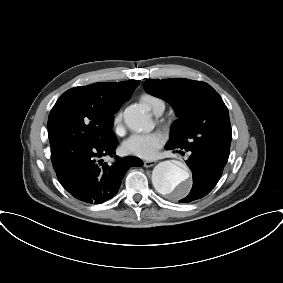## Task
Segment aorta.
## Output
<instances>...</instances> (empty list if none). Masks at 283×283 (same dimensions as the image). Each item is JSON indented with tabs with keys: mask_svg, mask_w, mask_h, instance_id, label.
Here are the masks:
<instances>
[{
	"mask_svg": "<svg viewBox=\"0 0 283 283\" xmlns=\"http://www.w3.org/2000/svg\"><path fill=\"white\" fill-rule=\"evenodd\" d=\"M124 121L134 131L152 128L150 115L138 106H129L125 109ZM152 183L158 193L181 198L190 189L189 172L175 162L163 161L153 169Z\"/></svg>",
	"mask_w": 283,
	"mask_h": 283,
	"instance_id": "aorta-1",
	"label": "aorta"
}]
</instances>
